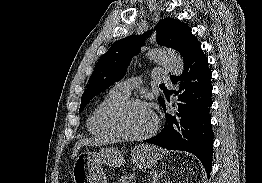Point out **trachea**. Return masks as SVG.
<instances>
[{"instance_id":"3493384b","label":"trachea","mask_w":262,"mask_h":183,"mask_svg":"<svg viewBox=\"0 0 262 183\" xmlns=\"http://www.w3.org/2000/svg\"><path fill=\"white\" fill-rule=\"evenodd\" d=\"M160 86H164V84H160Z\"/></svg>"}]
</instances>
